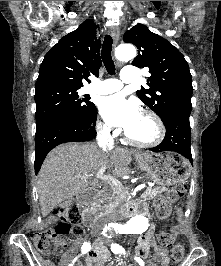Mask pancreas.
Segmentation results:
<instances>
[{
  "instance_id": "1",
  "label": "pancreas",
  "mask_w": 221,
  "mask_h": 266,
  "mask_svg": "<svg viewBox=\"0 0 221 266\" xmlns=\"http://www.w3.org/2000/svg\"><path fill=\"white\" fill-rule=\"evenodd\" d=\"M168 190L167 187H148L146 191L142 194L143 200H151L157 195L166 192ZM127 196L126 191L123 188H108L105 189L100 196L99 199H97L95 206L99 209L103 210H110L112 209L117 203H119L122 200H125Z\"/></svg>"
}]
</instances>
